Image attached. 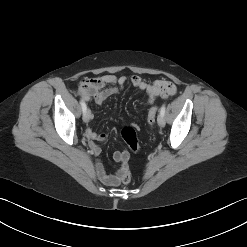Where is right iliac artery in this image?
<instances>
[{"label":"right iliac artery","mask_w":247,"mask_h":247,"mask_svg":"<svg viewBox=\"0 0 247 247\" xmlns=\"http://www.w3.org/2000/svg\"><path fill=\"white\" fill-rule=\"evenodd\" d=\"M80 103H81V106H82V111H83V113H85L86 110H87V106H86V104H85V102L83 100H81Z\"/></svg>","instance_id":"1"}]
</instances>
